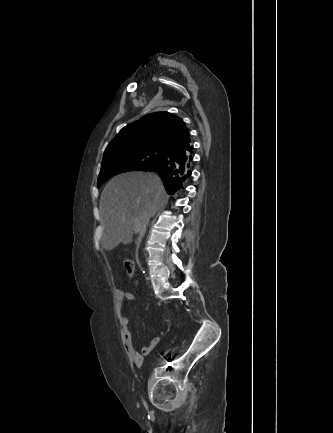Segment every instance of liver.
Returning <instances> with one entry per match:
<instances>
[{"mask_svg": "<svg viewBox=\"0 0 333 433\" xmlns=\"http://www.w3.org/2000/svg\"><path fill=\"white\" fill-rule=\"evenodd\" d=\"M167 202L168 195L157 175L135 171L112 178L100 199L102 248L111 251L121 243H131L136 230L134 220L137 218L142 228L147 218Z\"/></svg>", "mask_w": 333, "mask_h": 433, "instance_id": "liver-1", "label": "liver"}]
</instances>
